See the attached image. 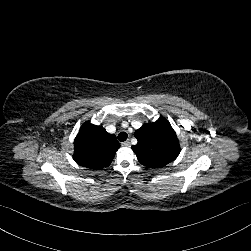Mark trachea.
I'll list each match as a JSON object with an SVG mask.
<instances>
[{"label":"trachea","instance_id":"3493384b","mask_svg":"<svg viewBox=\"0 0 251 251\" xmlns=\"http://www.w3.org/2000/svg\"><path fill=\"white\" fill-rule=\"evenodd\" d=\"M127 133L126 132H120L119 134H118V140L120 141V142H124L126 139H127Z\"/></svg>","mask_w":251,"mask_h":251}]
</instances>
